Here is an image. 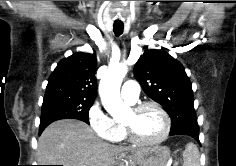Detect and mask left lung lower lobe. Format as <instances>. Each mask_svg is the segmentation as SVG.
Wrapping results in <instances>:
<instances>
[{"mask_svg":"<svg viewBox=\"0 0 236 166\" xmlns=\"http://www.w3.org/2000/svg\"><path fill=\"white\" fill-rule=\"evenodd\" d=\"M169 135H188L195 138L199 142V126L197 124V118H192L172 125Z\"/></svg>","mask_w":236,"mask_h":166,"instance_id":"obj_1","label":"left lung lower lobe"}]
</instances>
